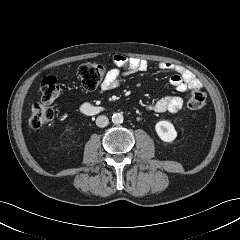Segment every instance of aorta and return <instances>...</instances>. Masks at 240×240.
Wrapping results in <instances>:
<instances>
[{"label": "aorta", "instance_id": "762f6f07", "mask_svg": "<svg viewBox=\"0 0 240 240\" xmlns=\"http://www.w3.org/2000/svg\"><path fill=\"white\" fill-rule=\"evenodd\" d=\"M123 119H124V117L120 113H115V114L112 115V122L114 124H117V125L121 124L123 122Z\"/></svg>", "mask_w": 240, "mask_h": 240}]
</instances>
